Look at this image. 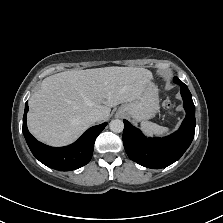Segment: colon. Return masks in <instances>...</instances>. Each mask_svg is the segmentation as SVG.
<instances>
[{
    "label": "colon",
    "mask_w": 223,
    "mask_h": 223,
    "mask_svg": "<svg viewBox=\"0 0 223 223\" xmlns=\"http://www.w3.org/2000/svg\"><path fill=\"white\" fill-rule=\"evenodd\" d=\"M163 105L167 110H170L172 108V103L170 100H165Z\"/></svg>",
    "instance_id": "5ec220e1"
}]
</instances>
